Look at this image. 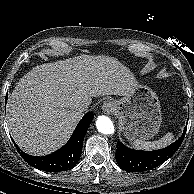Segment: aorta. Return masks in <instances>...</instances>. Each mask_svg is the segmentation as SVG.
Here are the masks:
<instances>
[{
	"instance_id": "aorta-1",
	"label": "aorta",
	"mask_w": 194,
	"mask_h": 194,
	"mask_svg": "<svg viewBox=\"0 0 194 194\" xmlns=\"http://www.w3.org/2000/svg\"><path fill=\"white\" fill-rule=\"evenodd\" d=\"M97 130L103 134H113L114 133V125L111 119L107 116H99L96 120Z\"/></svg>"
}]
</instances>
